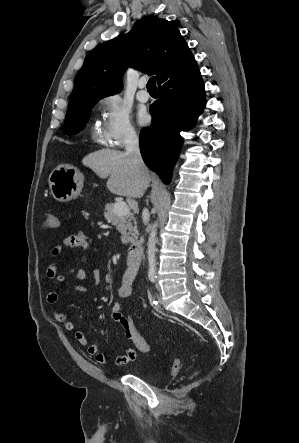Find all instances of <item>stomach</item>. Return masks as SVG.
<instances>
[{
    "mask_svg": "<svg viewBox=\"0 0 299 443\" xmlns=\"http://www.w3.org/2000/svg\"><path fill=\"white\" fill-rule=\"evenodd\" d=\"M83 181L84 176L76 167L60 165L49 175V188L55 200L68 202L81 192Z\"/></svg>",
    "mask_w": 299,
    "mask_h": 443,
    "instance_id": "1",
    "label": "stomach"
}]
</instances>
